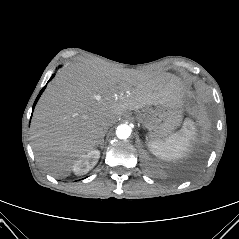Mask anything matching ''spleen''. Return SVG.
Listing matches in <instances>:
<instances>
[{
	"label": "spleen",
	"mask_w": 239,
	"mask_h": 239,
	"mask_svg": "<svg viewBox=\"0 0 239 239\" xmlns=\"http://www.w3.org/2000/svg\"><path fill=\"white\" fill-rule=\"evenodd\" d=\"M195 134V125L191 119H186L182 128L165 139L149 140L147 146L156 157L171 161L186 155Z\"/></svg>",
	"instance_id": "3e777b00"
}]
</instances>
